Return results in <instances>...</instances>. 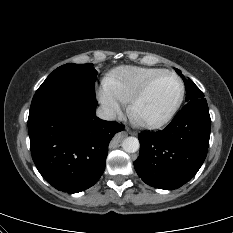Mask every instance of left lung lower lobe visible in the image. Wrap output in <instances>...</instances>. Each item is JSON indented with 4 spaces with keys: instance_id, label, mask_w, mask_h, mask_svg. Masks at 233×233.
<instances>
[{
    "instance_id": "1",
    "label": "left lung lower lobe",
    "mask_w": 233,
    "mask_h": 233,
    "mask_svg": "<svg viewBox=\"0 0 233 233\" xmlns=\"http://www.w3.org/2000/svg\"><path fill=\"white\" fill-rule=\"evenodd\" d=\"M210 126L207 101L198 98L189 101L162 131L141 132L140 154L134 161L139 177L164 190L187 183L206 158Z\"/></svg>"
}]
</instances>
